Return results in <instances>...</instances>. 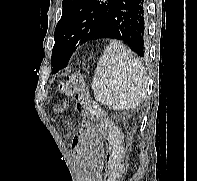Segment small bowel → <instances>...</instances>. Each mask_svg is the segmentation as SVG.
Listing matches in <instances>:
<instances>
[{
	"label": "small bowel",
	"mask_w": 197,
	"mask_h": 181,
	"mask_svg": "<svg viewBox=\"0 0 197 181\" xmlns=\"http://www.w3.org/2000/svg\"><path fill=\"white\" fill-rule=\"evenodd\" d=\"M71 147L82 163L81 179L101 181V139L96 127L90 122L82 123L78 134L71 139Z\"/></svg>",
	"instance_id": "small-bowel-1"
}]
</instances>
